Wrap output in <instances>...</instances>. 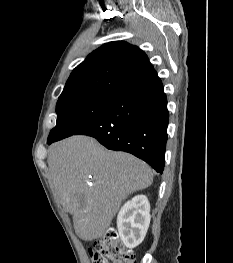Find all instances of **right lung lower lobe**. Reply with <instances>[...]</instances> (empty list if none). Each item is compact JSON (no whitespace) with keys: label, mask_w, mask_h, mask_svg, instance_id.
I'll use <instances>...</instances> for the list:
<instances>
[{"label":"right lung lower lobe","mask_w":233,"mask_h":263,"mask_svg":"<svg viewBox=\"0 0 233 263\" xmlns=\"http://www.w3.org/2000/svg\"><path fill=\"white\" fill-rule=\"evenodd\" d=\"M168 121L166 94L156 76L120 92L99 118L76 134L92 136L108 149L129 152L163 172Z\"/></svg>","instance_id":"1"}]
</instances>
